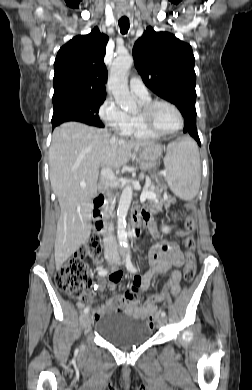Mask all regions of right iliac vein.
Segmentation results:
<instances>
[{"instance_id":"1","label":"right iliac vein","mask_w":252,"mask_h":390,"mask_svg":"<svg viewBox=\"0 0 252 390\" xmlns=\"http://www.w3.org/2000/svg\"><path fill=\"white\" fill-rule=\"evenodd\" d=\"M116 260V257L115 256H109L108 257V262L112 263ZM80 321H81V324H82V327L84 328V330H87L90 326V318L87 314H82L81 317H80Z\"/></svg>"}]
</instances>
